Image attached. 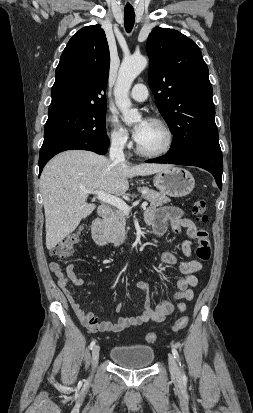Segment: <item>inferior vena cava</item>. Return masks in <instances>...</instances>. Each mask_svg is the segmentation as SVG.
<instances>
[{
    "instance_id": "inferior-vena-cava-1",
    "label": "inferior vena cava",
    "mask_w": 253,
    "mask_h": 413,
    "mask_svg": "<svg viewBox=\"0 0 253 413\" xmlns=\"http://www.w3.org/2000/svg\"><path fill=\"white\" fill-rule=\"evenodd\" d=\"M124 141L122 138H115L112 139L111 141V146H110V160L114 164L118 163H123L125 162V156H124Z\"/></svg>"
}]
</instances>
